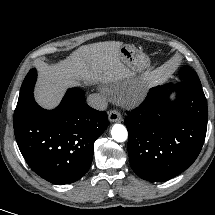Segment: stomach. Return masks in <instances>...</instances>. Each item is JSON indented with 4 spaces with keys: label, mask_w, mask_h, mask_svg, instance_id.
I'll list each match as a JSON object with an SVG mask.
<instances>
[{
    "label": "stomach",
    "mask_w": 215,
    "mask_h": 215,
    "mask_svg": "<svg viewBox=\"0 0 215 215\" xmlns=\"http://www.w3.org/2000/svg\"><path fill=\"white\" fill-rule=\"evenodd\" d=\"M119 53L120 60L130 68L133 73L144 72L150 66L149 58L134 46L123 45Z\"/></svg>",
    "instance_id": "obj_1"
}]
</instances>
